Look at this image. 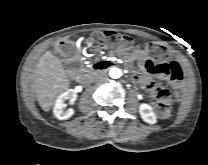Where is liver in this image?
I'll use <instances>...</instances> for the list:
<instances>
[{
    "label": "liver",
    "mask_w": 208,
    "mask_h": 165,
    "mask_svg": "<svg viewBox=\"0 0 208 165\" xmlns=\"http://www.w3.org/2000/svg\"><path fill=\"white\" fill-rule=\"evenodd\" d=\"M68 87L69 79L61 61L51 51H46L34 71V88L40 107L49 111Z\"/></svg>",
    "instance_id": "6515ba94"
}]
</instances>
